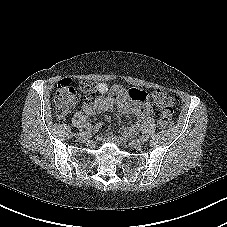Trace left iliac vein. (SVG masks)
<instances>
[{
	"label": "left iliac vein",
	"mask_w": 227,
	"mask_h": 227,
	"mask_svg": "<svg viewBox=\"0 0 227 227\" xmlns=\"http://www.w3.org/2000/svg\"><path fill=\"white\" fill-rule=\"evenodd\" d=\"M130 145L136 149H141L144 146V141L141 139H133L130 141Z\"/></svg>",
	"instance_id": "1"
}]
</instances>
